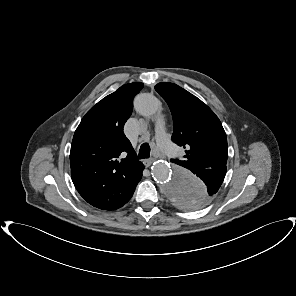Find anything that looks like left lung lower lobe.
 <instances>
[{"instance_id": "1", "label": "left lung lower lobe", "mask_w": 296, "mask_h": 296, "mask_svg": "<svg viewBox=\"0 0 296 296\" xmlns=\"http://www.w3.org/2000/svg\"><path fill=\"white\" fill-rule=\"evenodd\" d=\"M204 171L206 172L201 173L200 178L206 183L209 193L216 194V192L218 191V189L220 188L224 180L226 170H222L216 174L211 173L210 172L211 170L209 169ZM196 203L199 205H202L205 203V195L203 193L201 192L196 193Z\"/></svg>"}]
</instances>
